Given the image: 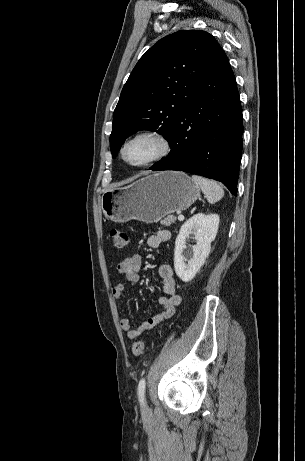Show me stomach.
<instances>
[{
    "label": "stomach",
    "instance_id": "0dacf381",
    "mask_svg": "<svg viewBox=\"0 0 305 461\" xmlns=\"http://www.w3.org/2000/svg\"><path fill=\"white\" fill-rule=\"evenodd\" d=\"M199 196V185L187 174L162 171L103 193L101 208L107 218L117 223L132 219L153 223L186 210Z\"/></svg>",
    "mask_w": 305,
    "mask_h": 461
}]
</instances>
